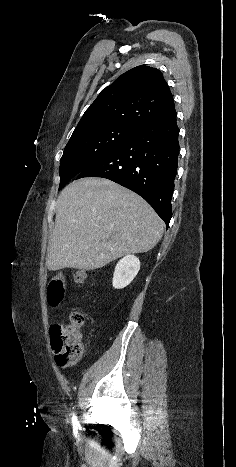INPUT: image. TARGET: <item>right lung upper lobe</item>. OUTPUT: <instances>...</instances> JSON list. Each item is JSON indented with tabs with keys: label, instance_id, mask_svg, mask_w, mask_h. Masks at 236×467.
<instances>
[{
	"label": "right lung upper lobe",
	"instance_id": "cb5924a9",
	"mask_svg": "<svg viewBox=\"0 0 236 467\" xmlns=\"http://www.w3.org/2000/svg\"><path fill=\"white\" fill-rule=\"evenodd\" d=\"M174 111L173 96L162 73L141 65L125 72L101 91L73 134L107 125L138 130Z\"/></svg>",
	"mask_w": 236,
	"mask_h": 467
}]
</instances>
